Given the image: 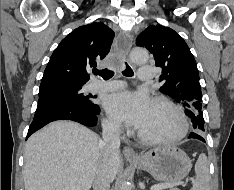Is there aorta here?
<instances>
[{"label":"aorta","mask_w":234,"mask_h":190,"mask_svg":"<svg viewBox=\"0 0 234 190\" xmlns=\"http://www.w3.org/2000/svg\"><path fill=\"white\" fill-rule=\"evenodd\" d=\"M130 57L134 63H144L148 60V51L143 48H134L130 53ZM120 190H131L130 183L123 181L120 185Z\"/></svg>","instance_id":"1"}]
</instances>
